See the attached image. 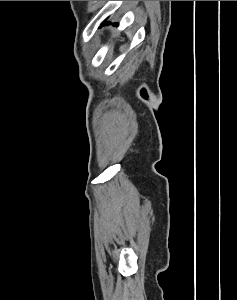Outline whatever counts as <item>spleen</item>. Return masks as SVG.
I'll use <instances>...</instances> for the list:
<instances>
[{"label": "spleen", "mask_w": 237, "mask_h": 300, "mask_svg": "<svg viewBox=\"0 0 237 300\" xmlns=\"http://www.w3.org/2000/svg\"><path fill=\"white\" fill-rule=\"evenodd\" d=\"M127 35H128V37H132V35H131V33H129V31H128Z\"/></svg>", "instance_id": "spleen-1"}]
</instances>
